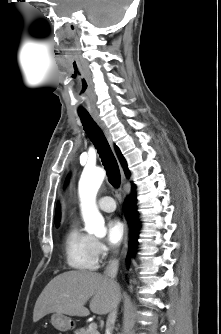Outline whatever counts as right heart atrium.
Wrapping results in <instances>:
<instances>
[{"label":"right heart atrium","mask_w":221,"mask_h":334,"mask_svg":"<svg viewBox=\"0 0 221 334\" xmlns=\"http://www.w3.org/2000/svg\"><path fill=\"white\" fill-rule=\"evenodd\" d=\"M95 247H96V251L98 253V256L100 257H105L108 254V248L106 247V245L99 241L96 240L95 241Z\"/></svg>","instance_id":"obj_1"}]
</instances>
